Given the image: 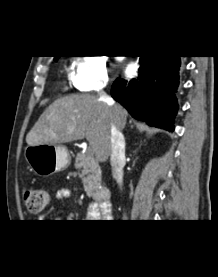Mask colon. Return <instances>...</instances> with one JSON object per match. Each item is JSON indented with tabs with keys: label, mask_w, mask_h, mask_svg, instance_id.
<instances>
[{
	"label": "colon",
	"mask_w": 218,
	"mask_h": 277,
	"mask_svg": "<svg viewBox=\"0 0 218 277\" xmlns=\"http://www.w3.org/2000/svg\"><path fill=\"white\" fill-rule=\"evenodd\" d=\"M50 201V194L46 188L31 187L23 194V203L32 214L41 213Z\"/></svg>",
	"instance_id": "5ec220e1"
}]
</instances>
